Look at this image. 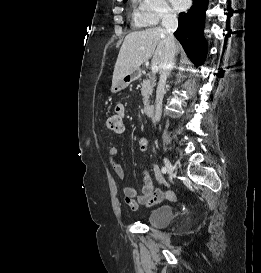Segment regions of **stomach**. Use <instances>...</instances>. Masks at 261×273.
<instances>
[{
    "label": "stomach",
    "instance_id": "stomach-1",
    "mask_svg": "<svg viewBox=\"0 0 261 273\" xmlns=\"http://www.w3.org/2000/svg\"><path fill=\"white\" fill-rule=\"evenodd\" d=\"M140 76V69L135 70L133 73L131 74H127L125 75L119 82L118 84L113 87L112 86V91H119L125 87H127L132 81H135L138 77Z\"/></svg>",
    "mask_w": 261,
    "mask_h": 273
}]
</instances>
